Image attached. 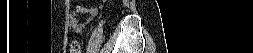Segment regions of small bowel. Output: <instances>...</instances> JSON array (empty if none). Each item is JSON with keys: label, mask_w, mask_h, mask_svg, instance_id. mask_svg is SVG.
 Segmentation results:
<instances>
[{"label": "small bowel", "mask_w": 253, "mask_h": 53, "mask_svg": "<svg viewBox=\"0 0 253 53\" xmlns=\"http://www.w3.org/2000/svg\"><path fill=\"white\" fill-rule=\"evenodd\" d=\"M99 11L98 7H82L78 6L75 12L69 14V26L76 33H80L84 30L86 24L89 22V19L95 16ZM78 14H84L88 16L86 21H82L78 18Z\"/></svg>", "instance_id": "obj_1"}]
</instances>
